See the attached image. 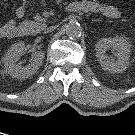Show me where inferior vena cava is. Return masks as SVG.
Returning <instances> with one entry per match:
<instances>
[{
  "instance_id": "602c4592",
  "label": "inferior vena cava",
  "mask_w": 135,
  "mask_h": 135,
  "mask_svg": "<svg viewBox=\"0 0 135 135\" xmlns=\"http://www.w3.org/2000/svg\"><path fill=\"white\" fill-rule=\"evenodd\" d=\"M54 29H55V27L48 28L47 30H45L44 33H48V32H50V31H52V30H54Z\"/></svg>"
}]
</instances>
